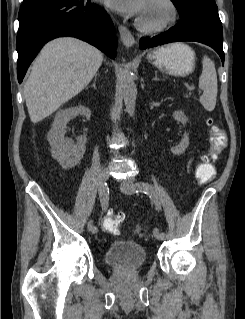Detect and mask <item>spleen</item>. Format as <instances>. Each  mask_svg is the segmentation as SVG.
<instances>
[{
    "label": "spleen",
    "mask_w": 245,
    "mask_h": 319,
    "mask_svg": "<svg viewBox=\"0 0 245 319\" xmlns=\"http://www.w3.org/2000/svg\"><path fill=\"white\" fill-rule=\"evenodd\" d=\"M199 88L203 91L199 99L200 103L207 111H212L215 108L217 99V73L213 61L206 55L202 59Z\"/></svg>",
    "instance_id": "spleen-1"
}]
</instances>
